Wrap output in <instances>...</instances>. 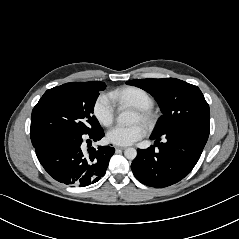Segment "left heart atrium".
<instances>
[{
  "label": "left heart atrium",
  "instance_id": "left-heart-atrium-1",
  "mask_svg": "<svg viewBox=\"0 0 239 239\" xmlns=\"http://www.w3.org/2000/svg\"><path fill=\"white\" fill-rule=\"evenodd\" d=\"M145 133L146 127L142 123L116 125L107 132V139L115 145L127 146L141 139Z\"/></svg>",
  "mask_w": 239,
  "mask_h": 239
}]
</instances>
